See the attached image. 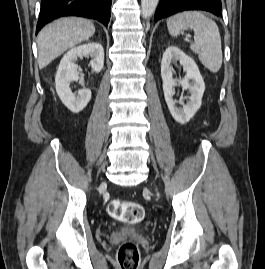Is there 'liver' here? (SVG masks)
<instances>
[{
    "label": "liver",
    "mask_w": 265,
    "mask_h": 269,
    "mask_svg": "<svg viewBox=\"0 0 265 269\" xmlns=\"http://www.w3.org/2000/svg\"><path fill=\"white\" fill-rule=\"evenodd\" d=\"M95 33L93 22L78 18H62L45 26L38 34V64L43 69L56 57L88 40Z\"/></svg>",
    "instance_id": "6515ba94"
}]
</instances>
